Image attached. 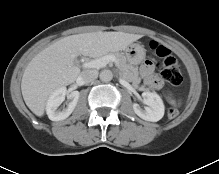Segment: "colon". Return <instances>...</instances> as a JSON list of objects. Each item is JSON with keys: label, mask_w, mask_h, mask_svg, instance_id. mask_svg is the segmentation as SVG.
<instances>
[{"label": "colon", "mask_w": 219, "mask_h": 174, "mask_svg": "<svg viewBox=\"0 0 219 174\" xmlns=\"http://www.w3.org/2000/svg\"><path fill=\"white\" fill-rule=\"evenodd\" d=\"M150 48L152 52L161 60L158 64L161 77L169 84L173 86H179L183 81L181 67L177 59L172 55L171 51L168 48L157 44L156 42H152L150 44ZM178 114L179 111L174 106L167 110V116L169 119L177 117Z\"/></svg>", "instance_id": "1"}]
</instances>
